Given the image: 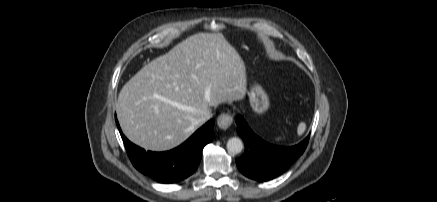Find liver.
I'll return each mask as SVG.
<instances>
[{"mask_svg": "<svg viewBox=\"0 0 437 202\" xmlns=\"http://www.w3.org/2000/svg\"><path fill=\"white\" fill-rule=\"evenodd\" d=\"M246 67L219 33H198L139 70L121 89L116 112L134 144L151 151L179 146L211 106L241 100Z\"/></svg>", "mask_w": 437, "mask_h": 202, "instance_id": "liver-1", "label": "liver"}]
</instances>
